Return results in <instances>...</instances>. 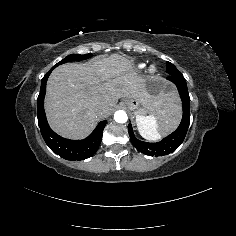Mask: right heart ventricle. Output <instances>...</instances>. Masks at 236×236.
<instances>
[{"mask_svg": "<svg viewBox=\"0 0 236 236\" xmlns=\"http://www.w3.org/2000/svg\"><path fill=\"white\" fill-rule=\"evenodd\" d=\"M143 67H144V65H140V66H139V69H142Z\"/></svg>", "mask_w": 236, "mask_h": 236, "instance_id": "obj_1", "label": "right heart ventricle"}]
</instances>
